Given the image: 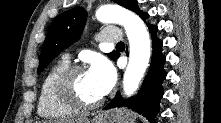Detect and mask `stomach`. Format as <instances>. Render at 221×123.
<instances>
[{
	"label": "stomach",
	"instance_id": "obj_1",
	"mask_svg": "<svg viewBox=\"0 0 221 123\" xmlns=\"http://www.w3.org/2000/svg\"><path fill=\"white\" fill-rule=\"evenodd\" d=\"M91 123H134V117L129 110L120 108L98 114Z\"/></svg>",
	"mask_w": 221,
	"mask_h": 123
}]
</instances>
